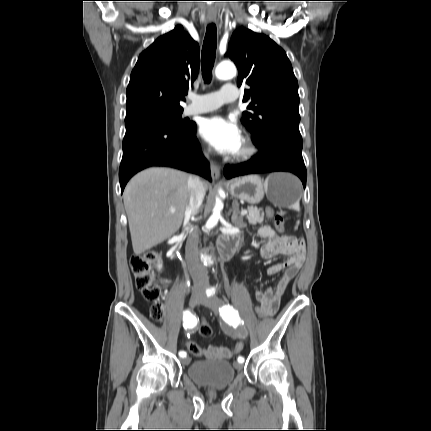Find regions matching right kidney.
I'll use <instances>...</instances> for the list:
<instances>
[{
	"mask_svg": "<svg viewBox=\"0 0 431 431\" xmlns=\"http://www.w3.org/2000/svg\"><path fill=\"white\" fill-rule=\"evenodd\" d=\"M158 268L161 269L162 268V264L159 263L158 264Z\"/></svg>",
	"mask_w": 431,
	"mask_h": 431,
	"instance_id": "ca27d5eb",
	"label": "right kidney"
}]
</instances>
